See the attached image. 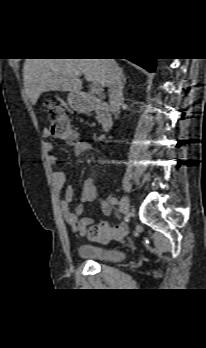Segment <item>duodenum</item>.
Returning <instances> with one entry per match:
<instances>
[{
    "label": "duodenum",
    "instance_id": "obj_1",
    "mask_svg": "<svg viewBox=\"0 0 206 348\" xmlns=\"http://www.w3.org/2000/svg\"><path fill=\"white\" fill-rule=\"evenodd\" d=\"M77 100L82 105V111H95L98 113L99 121L104 131H110L113 128L111 107L108 102L91 95L78 96Z\"/></svg>",
    "mask_w": 206,
    "mask_h": 348
}]
</instances>
